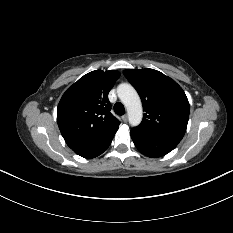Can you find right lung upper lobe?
<instances>
[{
  "label": "right lung upper lobe",
  "instance_id": "right-lung-upper-lobe-1",
  "mask_svg": "<svg viewBox=\"0 0 233 233\" xmlns=\"http://www.w3.org/2000/svg\"><path fill=\"white\" fill-rule=\"evenodd\" d=\"M119 76L116 70L92 71L63 94L57 122L72 150L92 145L118 130L120 122L110 112L108 93Z\"/></svg>",
  "mask_w": 233,
  "mask_h": 233
}]
</instances>
